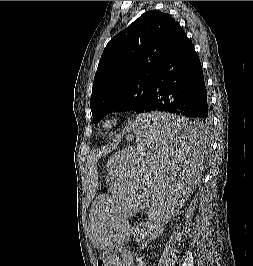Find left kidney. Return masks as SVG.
Instances as JSON below:
<instances>
[{"label": "left kidney", "instance_id": "obj_1", "mask_svg": "<svg viewBox=\"0 0 253 266\" xmlns=\"http://www.w3.org/2000/svg\"><path fill=\"white\" fill-rule=\"evenodd\" d=\"M159 227L160 221L157 219L152 222L140 223L131 231L136 241L143 243L150 241L155 236Z\"/></svg>", "mask_w": 253, "mask_h": 266}]
</instances>
